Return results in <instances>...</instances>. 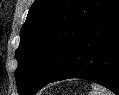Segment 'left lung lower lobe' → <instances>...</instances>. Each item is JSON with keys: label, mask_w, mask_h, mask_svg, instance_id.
Wrapping results in <instances>:
<instances>
[{"label": "left lung lower lobe", "mask_w": 119, "mask_h": 95, "mask_svg": "<svg viewBox=\"0 0 119 95\" xmlns=\"http://www.w3.org/2000/svg\"><path fill=\"white\" fill-rule=\"evenodd\" d=\"M69 78L93 81L119 95V0L86 31L69 64L50 82Z\"/></svg>", "instance_id": "obj_1"}]
</instances>
